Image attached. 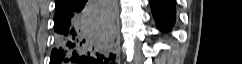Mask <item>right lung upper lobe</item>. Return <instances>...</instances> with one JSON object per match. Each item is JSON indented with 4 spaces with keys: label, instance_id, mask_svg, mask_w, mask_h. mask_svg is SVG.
I'll use <instances>...</instances> for the list:
<instances>
[{
    "label": "right lung upper lobe",
    "instance_id": "cb5924a9",
    "mask_svg": "<svg viewBox=\"0 0 242 64\" xmlns=\"http://www.w3.org/2000/svg\"><path fill=\"white\" fill-rule=\"evenodd\" d=\"M71 0H56L55 2V10H60L62 7H64L66 4H69Z\"/></svg>",
    "mask_w": 242,
    "mask_h": 64
}]
</instances>
